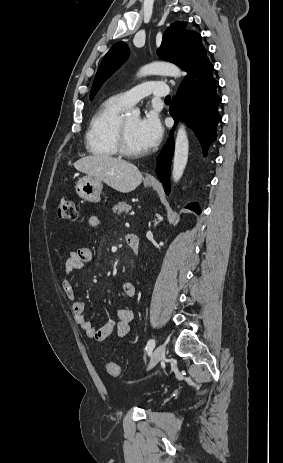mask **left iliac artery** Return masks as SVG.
I'll list each match as a JSON object with an SVG mask.
<instances>
[{
  "label": "left iliac artery",
  "mask_w": 283,
  "mask_h": 463,
  "mask_svg": "<svg viewBox=\"0 0 283 463\" xmlns=\"http://www.w3.org/2000/svg\"><path fill=\"white\" fill-rule=\"evenodd\" d=\"M155 347V340L154 339H150L147 343V346H146V351H151L153 350Z\"/></svg>",
  "instance_id": "left-iliac-artery-1"
}]
</instances>
